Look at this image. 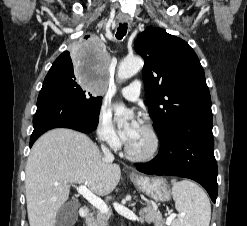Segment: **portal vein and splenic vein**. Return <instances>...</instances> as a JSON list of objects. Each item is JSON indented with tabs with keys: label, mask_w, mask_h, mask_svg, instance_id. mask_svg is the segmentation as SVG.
<instances>
[{
	"label": "portal vein and splenic vein",
	"mask_w": 247,
	"mask_h": 226,
	"mask_svg": "<svg viewBox=\"0 0 247 226\" xmlns=\"http://www.w3.org/2000/svg\"><path fill=\"white\" fill-rule=\"evenodd\" d=\"M77 192L82 195L89 203H91L94 207H96L101 213L107 214L109 213V208L107 207L106 203L93 194L86 186L80 185L76 187ZM176 217L175 214H170L169 217L166 219V224H170L174 218Z\"/></svg>",
	"instance_id": "1"
}]
</instances>
